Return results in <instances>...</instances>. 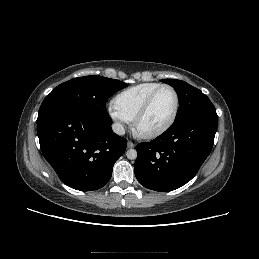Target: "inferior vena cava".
<instances>
[{
    "instance_id": "obj_1",
    "label": "inferior vena cava",
    "mask_w": 259,
    "mask_h": 259,
    "mask_svg": "<svg viewBox=\"0 0 259 259\" xmlns=\"http://www.w3.org/2000/svg\"><path fill=\"white\" fill-rule=\"evenodd\" d=\"M112 130L114 133L118 134V135H124L125 134V129L123 127L122 124L120 123H114L112 125Z\"/></svg>"
}]
</instances>
